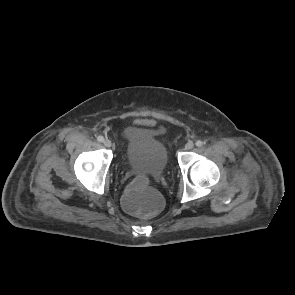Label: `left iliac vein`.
<instances>
[{"label":"left iliac vein","instance_id":"4c4485c4","mask_svg":"<svg viewBox=\"0 0 295 295\" xmlns=\"http://www.w3.org/2000/svg\"><path fill=\"white\" fill-rule=\"evenodd\" d=\"M194 147V143L192 141H189L185 145L186 150H191Z\"/></svg>","mask_w":295,"mask_h":295}]
</instances>
